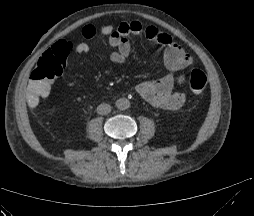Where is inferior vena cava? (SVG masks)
I'll list each match as a JSON object with an SVG mask.
<instances>
[{
    "instance_id": "obj_1",
    "label": "inferior vena cava",
    "mask_w": 254,
    "mask_h": 216,
    "mask_svg": "<svg viewBox=\"0 0 254 216\" xmlns=\"http://www.w3.org/2000/svg\"><path fill=\"white\" fill-rule=\"evenodd\" d=\"M111 112V106L106 103H102L97 107V113L100 115H107Z\"/></svg>"
}]
</instances>
